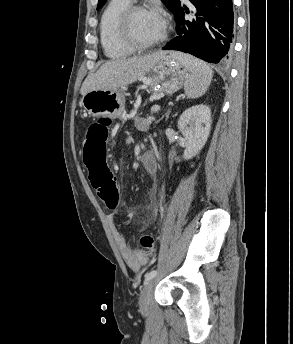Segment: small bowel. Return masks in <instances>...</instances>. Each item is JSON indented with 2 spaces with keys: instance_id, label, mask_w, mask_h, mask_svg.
<instances>
[{
  "instance_id": "obj_1",
  "label": "small bowel",
  "mask_w": 293,
  "mask_h": 344,
  "mask_svg": "<svg viewBox=\"0 0 293 344\" xmlns=\"http://www.w3.org/2000/svg\"><path fill=\"white\" fill-rule=\"evenodd\" d=\"M136 127L141 131H146L149 128V123L144 118H137L136 119ZM147 168V167H146ZM149 172L156 173L157 172V164L154 161L149 168H147ZM154 196V195H153ZM156 215V206L154 205L152 208L150 218L142 225V228L146 227L155 217ZM109 221L112 225L113 236L115 242L121 252V255L126 262V264L130 267L133 271H139L140 268L148 262V258H140L137 256V253L129 246L127 238L122 235L115 227V213H110Z\"/></svg>"
}]
</instances>
